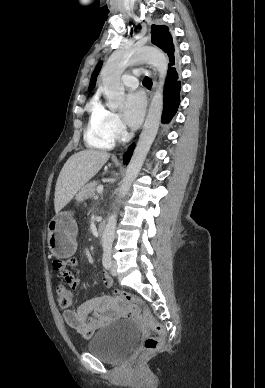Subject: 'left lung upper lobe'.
Instances as JSON below:
<instances>
[{
  "mask_svg": "<svg viewBox=\"0 0 265 388\" xmlns=\"http://www.w3.org/2000/svg\"><path fill=\"white\" fill-rule=\"evenodd\" d=\"M151 33L152 43L161 48L169 56V61L171 65L168 66V69L169 67L176 66L177 61H175L174 56L173 40L170 32L168 31V27L152 25Z\"/></svg>",
  "mask_w": 265,
  "mask_h": 388,
  "instance_id": "obj_1",
  "label": "left lung upper lobe"
}]
</instances>
